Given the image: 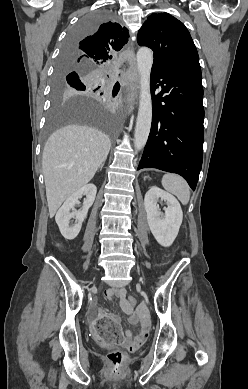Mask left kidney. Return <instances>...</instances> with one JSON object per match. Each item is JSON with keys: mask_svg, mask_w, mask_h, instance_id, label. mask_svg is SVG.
Here are the masks:
<instances>
[{"mask_svg": "<svg viewBox=\"0 0 248 389\" xmlns=\"http://www.w3.org/2000/svg\"><path fill=\"white\" fill-rule=\"evenodd\" d=\"M166 202L164 213L160 211L157 202ZM149 228L156 241L164 247H169L178 235L183 220V212L177 199L158 187H151L144 198Z\"/></svg>", "mask_w": 248, "mask_h": 389, "instance_id": "5707ae66", "label": "left kidney"}]
</instances>
